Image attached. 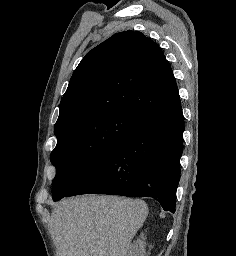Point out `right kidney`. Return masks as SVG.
<instances>
[{
    "label": "right kidney",
    "mask_w": 236,
    "mask_h": 256,
    "mask_svg": "<svg viewBox=\"0 0 236 256\" xmlns=\"http://www.w3.org/2000/svg\"><path fill=\"white\" fill-rule=\"evenodd\" d=\"M141 240H136L130 248V256H146V238L145 234H141Z\"/></svg>",
    "instance_id": "1"
}]
</instances>
